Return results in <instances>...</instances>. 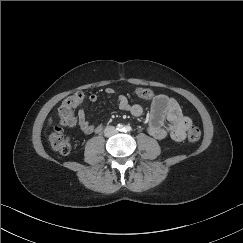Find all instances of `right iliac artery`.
I'll return each instance as SVG.
<instances>
[{"instance_id": "obj_1", "label": "right iliac artery", "mask_w": 243, "mask_h": 243, "mask_svg": "<svg viewBox=\"0 0 243 243\" xmlns=\"http://www.w3.org/2000/svg\"><path fill=\"white\" fill-rule=\"evenodd\" d=\"M117 130H119V131H123V130H124L123 125H122V124H118V125H117Z\"/></svg>"}]
</instances>
